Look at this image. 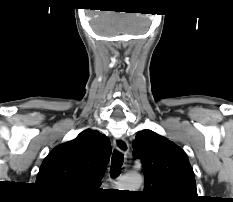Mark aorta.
Here are the masks:
<instances>
[{
	"label": "aorta",
	"mask_w": 233,
	"mask_h": 202,
	"mask_svg": "<svg viewBox=\"0 0 233 202\" xmlns=\"http://www.w3.org/2000/svg\"><path fill=\"white\" fill-rule=\"evenodd\" d=\"M142 177L138 174L123 176L119 181L121 190L136 191L142 184Z\"/></svg>",
	"instance_id": "762f6f07"
}]
</instances>
